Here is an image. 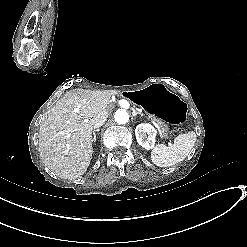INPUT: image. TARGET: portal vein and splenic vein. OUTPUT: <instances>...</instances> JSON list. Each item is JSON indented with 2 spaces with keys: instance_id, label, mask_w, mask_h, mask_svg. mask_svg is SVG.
<instances>
[{
  "instance_id": "portal-vein-and-splenic-vein-1",
  "label": "portal vein and splenic vein",
  "mask_w": 247,
  "mask_h": 247,
  "mask_svg": "<svg viewBox=\"0 0 247 247\" xmlns=\"http://www.w3.org/2000/svg\"><path fill=\"white\" fill-rule=\"evenodd\" d=\"M75 112H78L79 111V108H76L74 110ZM148 121L151 122L154 126H156L157 130H160V126L159 124L156 123V121L152 120L151 118H148ZM74 133V130H71V131H64V132H61V135H70V134H73ZM169 145H172V142H169Z\"/></svg>"
}]
</instances>
